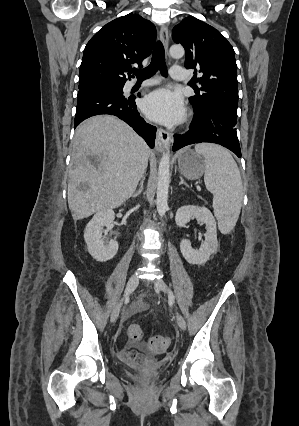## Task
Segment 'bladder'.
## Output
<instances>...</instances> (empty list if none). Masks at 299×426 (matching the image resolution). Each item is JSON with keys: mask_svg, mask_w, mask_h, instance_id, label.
I'll use <instances>...</instances> for the list:
<instances>
[{"mask_svg": "<svg viewBox=\"0 0 299 426\" xmlns=\"http://www.w3.org/2000/svg\"><path fill=\"white\" fill-rule=\"evenodd\" d=\"M126 377L133 379V380H137V381H142V380H146V379H152L158 376L157 373L154 374H143V373H130L127 372Z\"/></svg>", "mask_w": 299, "mask_h": 426, "instance_id": "1", "label": "bladder"}]
</instances>
